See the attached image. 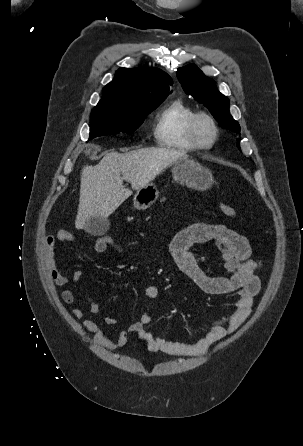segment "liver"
<instances>
[{
    "label": "liver",
    "instance_id": "obj_1",
    "mask_svg": "<svg viewBox=\"0 0 303 446\" xmlns=\"http://www.w3.org/2000/svg\"><path fill=\"white\" fill-rule=\"evenodd\" d=\"M184 152L150 148L127 153L112 151L99 164L86 165L81 172L80 198L75 221L77 229L86 228L93 217L107 218L132 191L123 186L128 181L133 190L149 184L167 166L186 158Z\"/></svg>",
    "mask_w": 303,
    "mask_h": 446
}]
</instances>
